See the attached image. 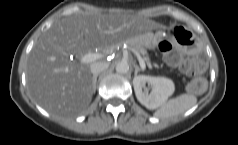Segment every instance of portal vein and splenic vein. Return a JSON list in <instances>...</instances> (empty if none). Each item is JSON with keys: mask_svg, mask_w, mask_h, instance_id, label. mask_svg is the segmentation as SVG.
Masks as SVG:
<instances>
[{"mask_svg": "<svg viewBox=\"0 0 238 145\" xmlns=\"http://www.w3.org/2000/svg\"><path fill=\"white\" fill-rule=\"evenodd\" d=\"M131 50L136 54L141 68L145 69L146 68L145 62H144L143 58L140 56L139 52L133 48H131ZM103 56L104 55H102L100 53H88L81 57L80 63H82V64L91 63V62L96 61L97 59L102 58Z\"/></svg>", "mask_w": 238, "mask_h": 145, "instance_id": "obj_1", "label": "portal vein and splenic vein"}]
</instances>
